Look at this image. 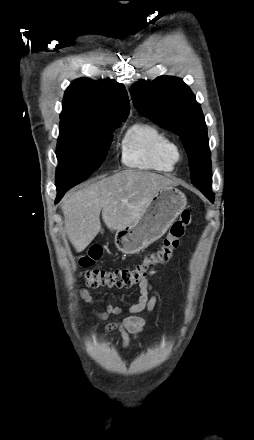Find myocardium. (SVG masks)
Here are the masks:
<instances>
[{"label": "myocardium", "instance_id": "myocardium-1", "mask_svg": "<svg viewBox=\"0 0 254 440\" xmlns=\"http://www.w3.org/2000/svg\"><path fill=\"white\" fill-rule=\"evenodd\" d=\"M179 157V153H178V150H177V158Z\"/></svg>", "mask_w": 254, "mask_h": 440}]
</instances>
